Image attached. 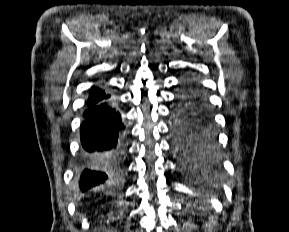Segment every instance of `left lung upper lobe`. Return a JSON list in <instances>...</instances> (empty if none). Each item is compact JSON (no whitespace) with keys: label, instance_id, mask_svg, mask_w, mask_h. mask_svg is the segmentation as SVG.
Wrapping results in <instances>:
<instances>
[{"label":"left lung upper lobe","instance_id":"5c2ea615","mask_svg":"<svg viewBox=\"0 0 289 232\" xmlns=\"http://www.w3.org/2000/svg\"><path fill=\"white\" fill-rule=\"evenodd\" d=\"M177 147L185 152L210 153L216 148V141L203 136L189 116H177L174 124Z\"/></svg>","mask_w":289,"mask_h":232}]
</instances>
